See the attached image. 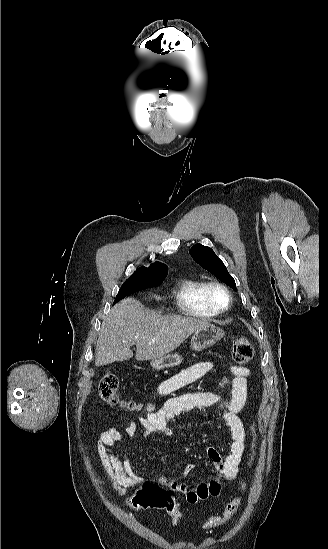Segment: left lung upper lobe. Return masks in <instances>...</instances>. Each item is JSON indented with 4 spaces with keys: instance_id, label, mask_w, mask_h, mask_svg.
<instances>
[{
    "instance_id": "left-lung-upper-lobe-1",
    "label": "left lung upper lobe",
    "mask_w": 328,
    "mask_h": 549,
    "mask_svg": "<svg viewBox=\"0 0 328 549\" xmlns=\"http://www.w3.org/2000/svg\"><path fill=\"white\" fill-rule=\"evenodd\" d=\"M190 254L201 267L212 273L234 290L237 289L235 281L228 273L226 266L210 247L196 244L191 248Z\"/></svg>"
}]
</instances>
